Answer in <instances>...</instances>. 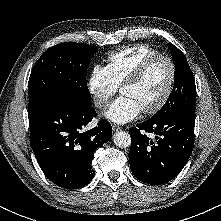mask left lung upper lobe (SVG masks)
I'll return each mask as SVG.
<instances>
[{"mask_svg": "<svg viewBox=\"0 0 221 221\" xmlns=\"http://www.w3.org/2000/svg\"><path fill=\"white\" fill-rule=\"evenodd\" d=\"M168 47L175 61V79L172 92L165 105L150 119L160 120L177 112L195 113L196 86L185 55L172 43Z\"/></svg>", "mask_w": 221, "mask_h": 221, "instance_id": "left-lung-upper-lobe-1", "label": "left lung upper lobe"}]
</instances>
